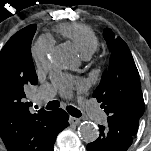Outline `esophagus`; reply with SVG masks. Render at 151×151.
Returning a JSON list of instances; mask_svg holds the SVG:
<instances>
[{
	"instance_id": "34e87169",
	"label": "esophagus",
	"mask_w": 151,
	"mask_h": 151,
	"mask_svg": "<svg viewBox=\"0 0 151 151\" xmlns=\"http://www.w3.org/2000/svg\"><path fill=\"white\" fill-rule=\"evenodd\" d=\"M69 123H70V124H79V123H80V119H79V118H76V117L70 116V117H69Z\"/></svg>"
}]
</instances>
